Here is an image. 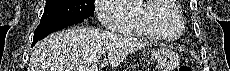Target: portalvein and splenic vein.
I'll return each instance as SVG.
<instances>
[{"label":"portal vein and splenic vein","mask_w":230,"mask_h":71,"mask_svg":"<svg viewBox=\"0 0 230 71\" xmlns=\"http://www.w3.org/2000/svg\"><path fill=\"white\" fill-rule=\"evenodd\" d=\"M79 71H98V70H97V66H96V64H95V65H93V66L90 67V68L81 67V68L79 69Z\"/></svg>","instance_id":"obj_1"}]
</instances>
